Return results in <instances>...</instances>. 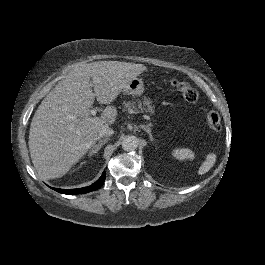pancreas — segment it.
<instances>
[{"label":"pancreas","mask_w":265,"mask_h":265,"mask_svg":"<svg viewBox=\"0 0 265 265\" xmlns=\"http://www.w3.org/2000/svg\"><path fill=\"white\" fill-rule=\"evenodd\" d=\"M137 104V106H136ZM122 111H128L130 113H137L139 111L141 112H149L151 114L154 113V107L152 106V102L144 98L143 101L137 99L136 101H128V102H123V108Z\"/></svg>","instance_id":"1"}]
</instances>
